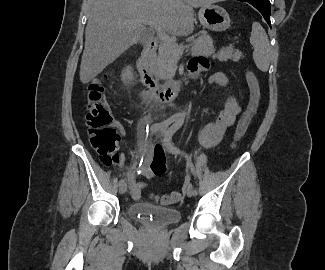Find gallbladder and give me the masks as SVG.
I'll use <instances>...</instances> for the list:
<instances>
[{
  "label": "gallbladder",
  "mask_w": 325,
  "mask_h": 270,
  "mask_svg": "<svg viewBox=\"0 0 325 270\" xmlns=\"http://www.w3.org/2000/svg\"><path fill=\"white\" fill-rule=\"evenodd\" d=\"M150 40V35L148 33H144L142 36H141V40H140V44H145L147 41Z\"/></svg>",
  "instance_id": "obj_1"
}]
</instances>
